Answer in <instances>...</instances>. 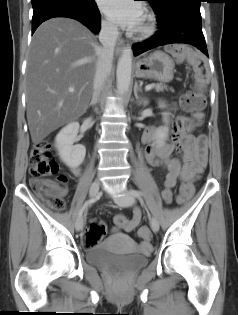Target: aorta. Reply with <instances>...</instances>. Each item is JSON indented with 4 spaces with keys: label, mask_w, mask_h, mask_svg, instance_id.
<instances>
[{
    "label": "aorta",
    "mask_w": 238,
    "mask_h": 315,
    "mask_svg": "<svg viewBox=\"0 0 238 315\" xmlns=\"http://www.w3.org/2000/svg\"><path fill=\"white\" fill-rule=\"evenodd\" d=\"M132 56L131 47H125L118 60L116 70L117 91L119 95H125L130 86L132 72Z\"/></svg>",
    "instance_id": "762f6f07"
}]
</instances>
